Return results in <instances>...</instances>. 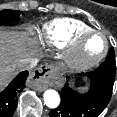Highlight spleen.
Segmentation results:
<instances>
[{"label": "spleen", "instance_id": "obj_1", "mask_svg": "<svg viewBox=\"0 0 117 117\" xmlns=\"http://www.w3.org/2000/svg\"><path fill=\"white\" fill-rule=\"evenodd\" d=\"M82 89H87V87H84V88H82Z\"/></svg>", "mask_w": 117, "mask_h": 117}]
</instances>
